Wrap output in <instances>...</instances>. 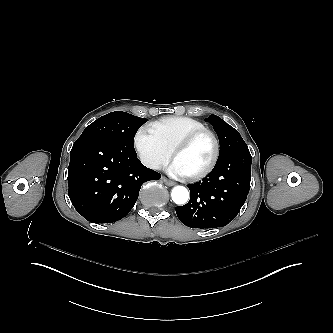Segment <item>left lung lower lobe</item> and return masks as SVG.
I'll return each mask as SVG.
<instances>
[{"instance_id":"left-lung-lower-lobe-1","label":"left lung lower lobe","mask_w":333,"mask_h":333,"mask_svg":"<svg viewBox=\"0 0 333 333\" xmlns=\"http://www.w3.org/2000/svg\"><path fill=\"white\" fill-rule=\"evenodd\" d=\"M252 157L248 148L236 150L217 160L202 181L189 184L191 197L176 207L179 220L191 228L227 225L244 205L251 181Z\"/></svg>"}]
</instances>
